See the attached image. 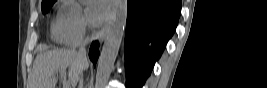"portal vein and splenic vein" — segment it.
I'll list each match as a JSON object with an SVG mask.
<instances>
[{
  "label": "portal vein and splenic vein",
  "mask_w": 267,
  "mask_h": 88,
  "mask_svg": "<svg viewBox=\"0 0 267 88\" xmlns=\"http://www.w3.org/2000/svg\"><path fill=\"white\" fill-rule=\"evenodd\" d=\"M59 73H60L62 78H65V76H66V70L65 69L59 71ZM63 88H70V85L65 82Z\"/></svg>",
  "instance_id": "18ae733b"
}]
</instances>
